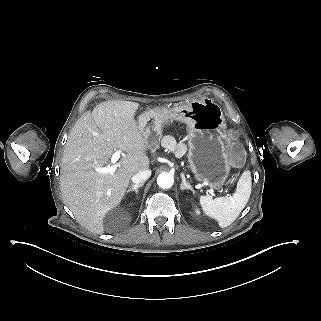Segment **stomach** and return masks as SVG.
I'll return each instance as SVG.
<instances>
[{"instance_id":"stomach-1","label":"stomach","mask_w":321,"mask_h":321,"mask_svg":"<svg viewBox=\"0 0 321 321\" xmlns=\"http://www.w3.org/2000/svg\"><path fill=\"white\" fill-rule=\"evenodd\" d=\"M173 120L187 125V157L195 178L215 189L221 188L230 172L226 160L227 124L222 110L203 99L180 103L173 109L155 107L144 111L139 116L138 127L148 142V149L159 147L163 127Z\"/></svg>"}]
</instances>
